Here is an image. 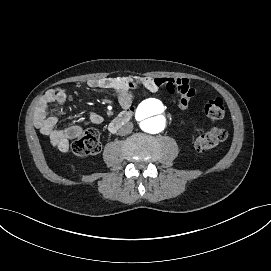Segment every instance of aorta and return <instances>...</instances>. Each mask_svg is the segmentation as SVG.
<instances>
[{"mask_svg": "<svg viewBox=\"0 0 271 271\" xmlns=\"http://www.w3.org/2000/svg\"><path fill=\"white\" fill-rule=\"evenodd\" d=\"M135 117L143 131L156 134L166 126V107L157 99H146L138 105Z\"/></svg>", "mask_w": 271, "mask_h": 271, "instance_id": "762f6f07", "label": "aorta"}]
</instances>
